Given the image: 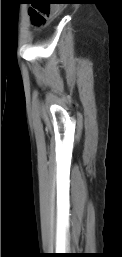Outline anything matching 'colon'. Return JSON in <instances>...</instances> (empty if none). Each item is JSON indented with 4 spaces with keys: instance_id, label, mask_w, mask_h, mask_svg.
<instances>
[{
    "instance_id": "1",
    "label": "colon",
    "mask_w": 122,
    "mask_h": 257,
    "mask_svg": "<svg viewBox=\"0 0 122 257\" xmlns=\"http://www.w3.org/2000/svg\"><path fill=\"white\" fill-rule=\"evenodd\" d=\"M50 10L52 5H35V8L30 11L33 24L37 27L43 26L50 15Z\"/></svg>"
}]
</instances>
